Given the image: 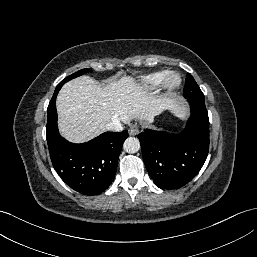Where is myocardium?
I'll use <instances>...</instances> for the list:
<instances>
[{"label": "myocardium", "mask_w": 257, "mask_h": 257, "mask_svg": "<svg viewBox=\"0 0 257 257\" xmlns=\"http://www.w3.org/2000/svg\"><path fill=\"white\" fill-rule=\"evenodd\" d=\"M181 82V75L178 72H168L162 86L166 91L172 92L180 87Z\"/></svg>", "instance_id": "f54148a6"}]
</instances>
